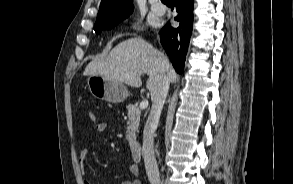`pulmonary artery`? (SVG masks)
Returning a JSON list of instances; mask_svg holds the SVG:
<instances>
[{
	"label": "pulmonary artery",
	"mask_w": 293,
	"mask_h": 184,
	"mask_svg": "<svg viewBox=\"0 0 293 184\" xmlns=\"http://www.w3.org/2000/svg\"><path fill=\"white\" fill-rule=\"evenodd\" d=\"M151 10L157 15H163L166 12V7L158 0H152Z\"/></svg>",
	"instance_id": "obj_1"
}]
</instances>
